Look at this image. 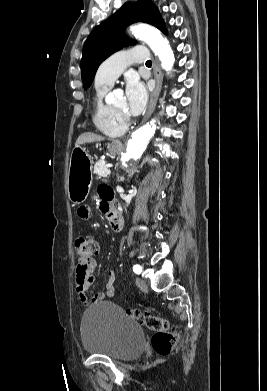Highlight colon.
<instances>
[{
	"mask_svg": "<svg viewBox=\"0 0 267 391\" xmlns=\"http://www.w3.org/2000/svg\"><path fill=\"white\" fill-rule=\"evenodd\" d=\"M73 246L77 257V268L83 272L90 270L94 257L98 254V242L90 237H78ZM127 314L153 333L152 347L158 355H167L174 349L179 340V333L170 330L168 319L150 313H141L137 309H129Z\"/></svg>",
	"mask_w": 267,
	"mask_h": 391,
	"instance_id": "colon-1",
	"label": "colon"
}]
</instances>
